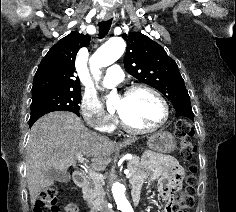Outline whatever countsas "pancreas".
I'll list each match as a JSON object with an SVG mask.
<instances>
[{
    "mask_svg": "<svg viewBox=\"0 0 236 212\" xmlns=\"http://www.w3.org/2000/svg\"><path fill=\"white\" fill-rule=\"evenodd\" d=\"M139 160L138 156H133V158L128 162L127 167L131 176L139 172ZM104 196L103 180H92L89 187L84 191V198L95 209H100L101 205L104 204Z\"/></svg>",
    "mask_w": 236,
    "mask_h": 212,
    "instance_id": "pancreas-1",
    "label": "pancreas"
}]
</instances>
